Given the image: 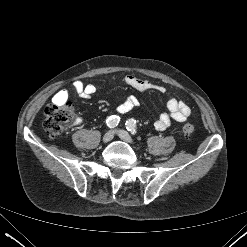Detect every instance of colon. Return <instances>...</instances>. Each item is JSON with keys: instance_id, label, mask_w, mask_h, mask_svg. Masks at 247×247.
Instances as JSON below:
<instances>
[{"instance_id": "1", "label": "colon", "mask_w": 247, "mask_h": 247, "mask_svg": "<svg viewBox=\"0 0 247 247\" xmlns=\"http://www.w3.org/2000/svg\"><path fill=\"white\" fill-rule=\"evenodd\" d=\"M75 117L74 106L70 103L48 104L45 108L44 129L51 137L60 135L73 121ZM194 132V126L186 123L182 127V134L186 137Z\"/></svg>"}]
</instances>
